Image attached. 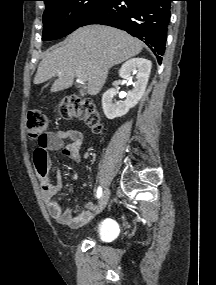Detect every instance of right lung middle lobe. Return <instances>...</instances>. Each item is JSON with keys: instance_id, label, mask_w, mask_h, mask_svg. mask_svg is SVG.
Segmentation results:
<instances>
[{"instance_id": "1", "label": "right lung middle lobe", "mask_w": 216, "mask_h": 285, "mask_svg": "<svg viewBox=\"0 0 216 285\" xmlns=\"http://www.w3.org/2000/svg\"><path fill=\"white\" fill-rule=\"evenodd\" d=\"M106 0H50L43 14L42 40L62 38L78 27Z\"/></svg>"}]
</instances>
